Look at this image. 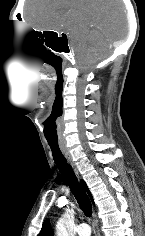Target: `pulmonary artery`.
Masks as SVG:
<instances>
[{
    "label": "pulmonary artery",
    "instance_id": "e3ab8cb5",
    "mask_svg": "<svg viewBox=\"0 0 145 236\" xmlns=\"http://www.w3.org/2000/svg\"><path fill=\"white\" fill-rule=\"evenodd\" d=\"M78 236H90L91 229L87 223H81L77 226Z\"/></svg>",
    "mask_w": 145,
    "mask_h": 236
}]
</instances>
